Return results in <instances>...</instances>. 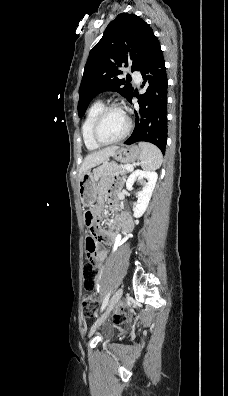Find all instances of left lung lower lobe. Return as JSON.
<instances>
[{
	"instance_id": "obj_1",
	"label": "left lung lower lobe",
	"mask_w": 228,
	"mask_h": 396,
	"mask_svg": "<svg viewBox=\"0 0 228 396\" xmlns=\"http://www.w3.org/2000/svg\"><path fill=\"white\" fill-rule=\"evenodd\" d=\"M146 92L139 99V108L135 111L136 123L132 135L124 144L131 145L145 141L155 144L165 153L167 142V75L160 43L156 38L140 69Z\"/></svg>"
}]
</instances>
